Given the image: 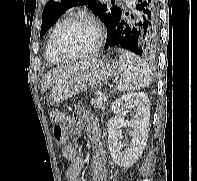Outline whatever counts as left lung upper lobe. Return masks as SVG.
<instances>
[{
  "instance_id": "left-lung-upper-lobe-1",
  "label": "left lung upper lobe",
  "mask_w": 197,
  "mask_h": 181,
  "mask_svg": "<svg viewBox=\"0 0 197 181\" xmlns=\"http://www.w3.org/2000/svg\"><path fill=\"white\" fill-rule=\"evenodd\" d=\"M80 5L88 6L93 14L105 24L106 28L122 15L121 8L116 5L109 6L98 0H50L43 10L40 36H43L69 8Z\"/></svg>"
}]
</instances>
